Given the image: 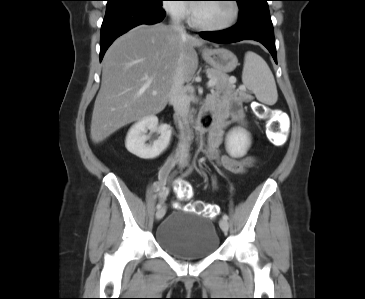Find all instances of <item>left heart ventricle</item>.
I'll return each instance as SVG.
<instances>
[{
  "mask_svg": "<svg viewBox=\"0 0 365 299\" xmlns=\"http://www.w3.org/2000/svg\"><path fill=\"white\" fill-rule=\"evenodd\" d=\"M197 19L207 25H222L229 22L233 15L230 2L199 3L195 5Z\"/></svg>",
  "mask_w": 365,
  "mask_h": 299,
  "instance_id": "1",
  "label": "left heart ventricle"
}]
</instances>
